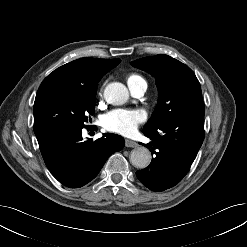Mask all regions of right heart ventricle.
Returning a JSON list of instances; mask_svg holds the SVG:
<instances>
[{"label":"right heart ventricle","instance_id":"right-heart-ventricle-1","mask_svg":"<svg viewBox=\"0 0 247 247\" xmlns=\"http://www.w3.org/2000/svg\"><path fill=\"white\" fill-rule=\"evenodd\" d=\"M145 81L140 75L132 73L127 76V83L130 84H136L138 82Z\"/></svg>","mask_w":247,"mask_h":247}]
</instances>
